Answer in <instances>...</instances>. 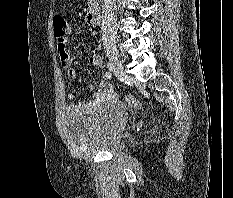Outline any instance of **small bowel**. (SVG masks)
I'll list each match as a JSON object with an SVG mask.
<instances>
[{
    "label": "small bowel",
    "mask_w": 233,
    "mask_h": 198,
    "mask_svg": "<svg viewBox=\"0 0 233 198\" xmlns=\"http://www.w3.org/2000/svg\"><path fill=\"white\" fill-rule=\"evenodd\" d=\"M68 38L64 41L57 40V50L59 54L60 64L66 71L69 78L74 79L77 75L76 69L74 68L75 57L69 55L67 51ZM89 62L92 66L102 69L103 60L100 55H93L90 57ZM93 88L92 86H89ZM67 98L70 101H74L76 98V93L70 91L67 94ZM117 99L111 82L103 78L99 84L98 90L94 93L93 98L89 102H77L73 103V109L77 111L93 112L100 108V106L105 102H114Z\"/></svg>",
    "instance_id": "1"
}]
</instances>
